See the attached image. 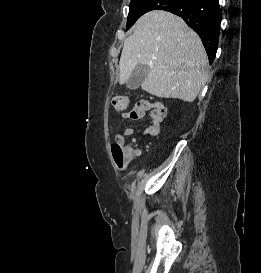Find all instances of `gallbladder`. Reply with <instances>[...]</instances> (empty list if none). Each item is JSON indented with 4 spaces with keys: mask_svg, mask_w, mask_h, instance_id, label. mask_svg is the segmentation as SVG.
Here are the masks:
<instances>
[{
    "mask_svg": "<svg viewBox=\"0 0 261 273\" xmlns=\"http://www.w3.org/2000/svg\"><path fill=\"white\" fill-rule=\"evenodd\" d=\"M150 72V67L147 65H137L133 70L130 78L126 82V87L131 90L139 88Z\"/></svg>",
    "mask_w": 261,
    "mask_h": 273,
    "instance_id": "gallbladder-1",
    "label": "gallbladder"
}]
</instances>
